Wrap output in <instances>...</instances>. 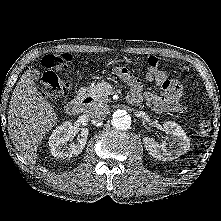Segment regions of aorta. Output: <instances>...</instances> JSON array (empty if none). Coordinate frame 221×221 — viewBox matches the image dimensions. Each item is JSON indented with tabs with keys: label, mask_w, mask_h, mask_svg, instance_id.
Here are the masks:
<instances>
[{
	"label": "aorta",
	"mask_w": 221,
	"mask_h": 221,
	"mask_svg": "<svg viewBox=\"0 0 221 221\" xmlns=\"http://www.w3.org/2000/svg\"><path fill=\"white\" fill-rule=\"evenodd\" d=\"M131 116L125 110H118L111 120L112 126L117 130H127L131 126Z\"/></svg>",
	"instance_id": "762f6f07"
}]
</instances>
